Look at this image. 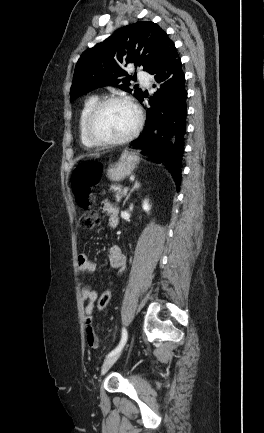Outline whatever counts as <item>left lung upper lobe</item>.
<instances>
[{
    "label": "left lung upper lobe",
    "instance_id": "obj_1",
    "mask_svg": "<svg viewBox=\"0 0 264 433\" xmlns=\"http://www.w3.org/2000/svg\"><path fill=\"white\" fill-rule=\"evenodd\" d=\"M175 45L156 23L140 21L118 29L103 42L86 50L78 60L72 83L71 101L103 86H115L132 93L138 100L141 89L130 88L129 76L124 67L133 63L153 72L174 51Z\"/></svg>",
    "mask_w": 264,
    "mask_h": 433
}]
</instances>
